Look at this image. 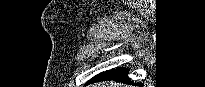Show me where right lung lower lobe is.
<instances>
[{
	"label": "right lung lower lobe",
	"instance_id": "obj_1",
	"mask_svg": "<svg viewBox=\"0 0 205 87\" xmlns=\"http://www.w3.org/2000/svg\"><path fill=\"white\" fill-rule=\"evenodd\" d=\"M127 75H128L127 68H117V69L102 72L94 76L90 81H88V84L104 81V80H116V81L125 82L129 84H134L131 82V79Z\"/></svg>",
	"mask_w": 205,
	"mask_h": 87
}]
</instances>
